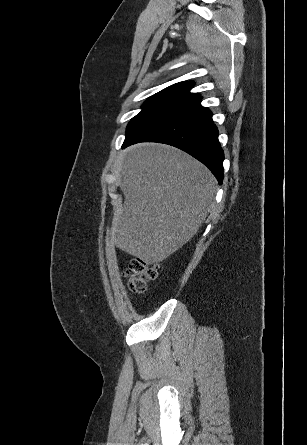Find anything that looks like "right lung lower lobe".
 <instances>
[{
	"label": "right lung lower lobe",
	"instance_id": "obj_1",
	"mask_svg": "<svg viewBox=\"0 0 307 445\" xmlns=\"http://www.w3.org/2000/svg\"><path fill=\"white\" fill-rule=\"evenodd\" d=\"M201 99L198 97L185 102L126 137L122 148L139 142L172 145L205 164L219 184H222L224 153L218 141V130L212 121V113L201 106Z\"/></svg>",
	"mask_w": 307,
	"mask_h": 445
}]
</instances>
